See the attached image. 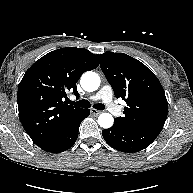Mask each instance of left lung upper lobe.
Returning a JSON list of instances; mask_svg holds the SVG:
<instances>
[{
    "label": "left lung upper lobe",
    "instance_id": "1",
    "mask_svg": "<svg viewBox=\"0 0 193 193\" xmlns=\"http://www.w3.org/2000/svg\"><path fill=\"white\" fill-rule=\"evenodd\" d=\"M115 96L126 101L114 123L126 129L163 128L168 103L158 78L140 61L124 53L96 55Z\"/></svg>",
    "mask_w": 193,
    "mask_h": 193
}]
</instances>
